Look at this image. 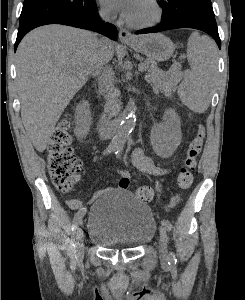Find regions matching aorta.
I'll return each mask as SVG.
<instances>
[{
  "instance_id": "762f6f07",
  "label": "aorta",
  "mask_w": 245,
  "mask_h": 300,
  "mask_svg": "<svg viewBox=\"0 0 245 300\" xmlns=\"http://www.w3.org/2000/svg\"><path fill=\"white\" fill-rule=\"evenodd\" d=\"M135 127V115L133 112H130L121 122L116 135L113 137L111 141V146L113 149L121 150L130 133Z\"/></svg>"
}]
</instances>
